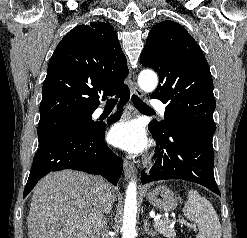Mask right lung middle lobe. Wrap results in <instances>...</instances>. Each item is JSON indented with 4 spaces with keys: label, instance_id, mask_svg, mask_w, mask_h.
I'll list each match as a JSON object with an SVG mask.
<instances>
[{
    "label": "right lung middle lobe",
    "instance_id": "dd1d6c3e",
    "mask_svg": "<svg viewBox=\"0 0 247 238\" xmlns=\"http://www.w3.org/2000/svg\"><path fill=\"white\" fill-rule=\"evenodd\" d=\"M92 113L61 115L39 121V144L65 133L87 132L93 129L96 123L91 119Z\"/></svg>",
    "mask_w": 247,
    "mask_h": 238
}]
</instances>
